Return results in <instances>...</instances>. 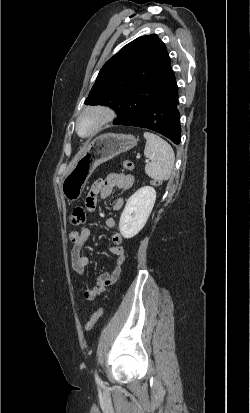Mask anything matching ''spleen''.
Masks as SVG:
<instances>
[{
  "instance_id": "1",
  "label": "spleen",
  "mask_w": 250,
  "mask_h": 413,
  "mask_svg": "<svg viewBox=\"0 0 250 413\" xmlns=\"http://www.w3.org/2000/svg\"><path fill=\"white\" fill-rule=\"evenodd\" d=\"M144 155L150 160L145 165L146 174L155 181L168 180L174 168L175 154L165 140L151 132H144Z\"/></svg>"
}]
</instances>
